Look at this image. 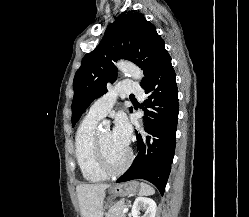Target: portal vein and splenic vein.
<instances>
[{"label": "portal vein and splenic vein", "instance_id": "obj_1", "mask_svg": "<svg viewBox=\"0 0 249 217\" xmlns=\"http://www.w3.org/2000/svg\"><path fill=\"white\" fill-rule=\"evenodd\" d=\"M128 212V207H125L124 209H123V214H125V213H127Z\"/></svg>", "mask_w": 249, "mask_h": 217}]
</instances>
